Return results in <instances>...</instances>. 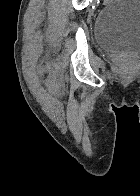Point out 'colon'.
Segmentation results:
<instances>
[{
  "instance_id": "colon-1",
  "label": "colon",
  "mask_w": 140,
  "mask_h": 196,
  "mask_svg": "<svg viewBox=\"0 0 140 196\" xmlns=\"http://www.w3.org/2000/svg\"><path fill=\"white\" fill-rule=\"evenodd\" d=\"M114 0H104V3L105 4H109V3H112Z\"/></svg>"
}]
</instances>
